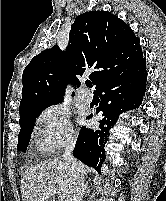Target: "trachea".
Returning a JSON list of instances; mask_svg holds the SVG:
<instances>
[{
    "label": "trachea",
    "mask_w": 166,
    "mask_h": 201,
    "mask_svg": "<svg viewBox=\"0 0 166 201\" xmlns=\"http://www.w3.org/2000/svg\"><path fill=\"white\" fill-rule=\"evenodd\" d=\"M86 85L89 87V88H91L92 87V83H91V81H86Z\"/></svg>",
    "instance_id": "3493384b"
}]
</instances>
